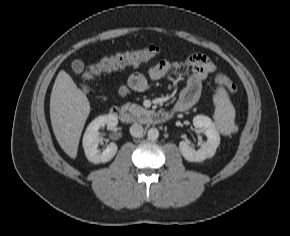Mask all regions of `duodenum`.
Returning a JSON list of instances; mask_svg holds the SVG:
<instances>
[{
	"mask_svg": "<svg viewBox=\"0 0 290 236\" xmlns=\"http://www.w3.org/2000/svg\"><path fill=\"white\" fill-rule=\"evenodd\" d=\"M111 114L125 124H131L139 121L162 124L170 120L173 116V112L171 111H154L145 115H136L117 106L112 107Z\"/></svg>",
	"mask_w": 290,
	"mask_h": 236,
	"instance_id": "1",
	"label": "duodenum"
}]
</instances>
